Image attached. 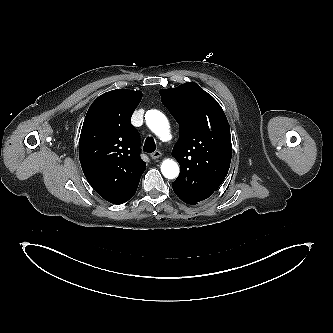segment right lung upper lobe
Returning a JSON list of instances; mask_svg holds the SVG:
<instances>
[{
	"label": "right lung upper lobe",
	"instance_id": "cb5924a9",
	"mask_svg": "<svg viewBox=\"0 0 333 333\" xmlns=\"http://www.w3.org/2000/svg\"><path fill=\"white\" fill-rule=\"evenodd\" d=\"M142 98L140 91L116 89L99 96L85 117L79 159L93 189L113 204L135 194L146 168L140 157V136L131 116Z\"/></svg>",
	"mask_w": 333,
	"mask_h": 333
}]
</instances>
